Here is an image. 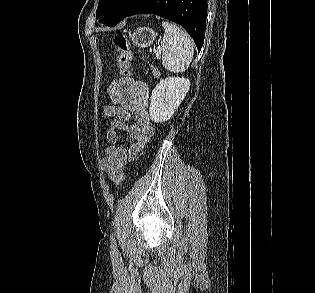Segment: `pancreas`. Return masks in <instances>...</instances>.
Returning <instances> with one entry per match:
<instances>
[{"instance_id":"cf45deb5","label":"pancreas","mask_w":315,"mask_h":293,"mask_svg":"<svg viewBox=\"0 0 315 293\" xmlns=\"http://www.w3.org/2000/svg\"><path fill=\"white\" fill-rule=\"evenodd\" d=\"M152 73H153L154 77H156V78L160 77V71H158L157 68L153 67L152 68Z\"/></svg>"}]
</instances>
